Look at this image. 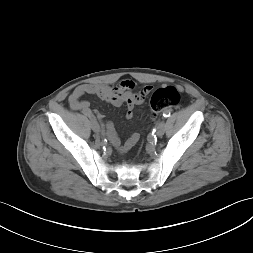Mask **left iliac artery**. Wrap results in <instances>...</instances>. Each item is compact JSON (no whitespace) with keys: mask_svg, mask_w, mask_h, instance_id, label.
I'll return each mask as SVG.
<instances>
[{"mask_svg":"<svg viewBox=\"0 0 253 253\" xmlns=\"http://www.w3.org/2000/svg\"><path fill=\"white\" fill-rule=\"evenodd\" d=\"M163 116L165 118L169 117L170 116V111L169 110H166L164 113H163Z\"/></svg>","mask_w":253,"mask_h":253,"instance_id":"44dca946","label":"left iliac artery"}]
</instances>
